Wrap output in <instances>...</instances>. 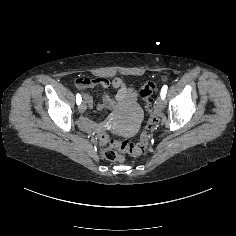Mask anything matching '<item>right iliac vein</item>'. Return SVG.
<instances>
[{
  "label": "right iliac vein",
  "instance_id": "1",
  "mask_svg": "<svg viewBox=\"0 0 236 236\" xmlns=\"http://www.w3.org/2000/svg\"><path fill=\"white\" fill-rule=\"evenodd\" d=\"M85 110H86V104H85V102H82V103L79 105V111H80L81 113H83V112H85Z\"/></svg>",
  "mask_w": 236,
  "mask_h": 236
}]
</instances>
